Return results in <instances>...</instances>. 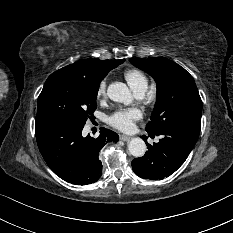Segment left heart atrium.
Masks as SVG:
<instances>
[{
	"label": "left heart atrium",
	"instance_id": "obj_1",
	"mask_svg": "<svg viewBox=\"0 0 233 233\" xmlns=\"http://www.w3.org/2000/svg\"><path fill=\"white\" fill-rule=\"evenodd\" d=\"M142 117L138 108H125L113 112L108 117V123L122 131H128L134 128V124Z\"/></svg>",
	"mask_w": 233,
	"mask_h": 233
}]
</instances>
